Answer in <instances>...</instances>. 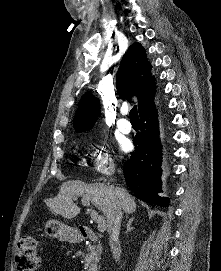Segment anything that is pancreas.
I'll use <instances>...</instances> for the list:
<instances>
[{
    "label": "pancreas",
    "mask_w": 221,
    "mask_h": 271,
    "mask_svg": "<svg viewBox=\"0 0 221 271\" xmlns=\"http://www.w3.org/2000/svg\"><path fill=\"white\" fill-rule=\"evenodd\" d=\"M80 245H87V240H80ZM101 253L102 243H97V245L88 243L87 253H85L84 259V267H86L87 271H90L88 267H95V265H98L99 259H101Z\"/></svg>",
    "instance_id": "cf45deb5"
}]
</instances>
